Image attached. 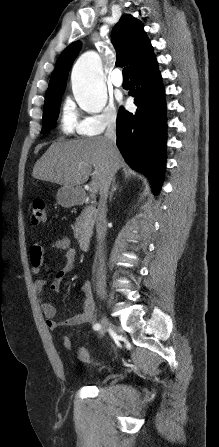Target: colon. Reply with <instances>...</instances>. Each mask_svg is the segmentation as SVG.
<instances>
[{
	"label": "colon",
	"mask_w": 219,
	"mask_h": 447,
	"mask_svg": "<svg viewBox=\"0 0 219 447\" xmlns=\"http://www.w3.org/2000/svg\"><path fill=\"white\" fill-rule=\"evenodd\" d=\"M30 222L32 225H42L47 220L45 201L41 198L34 199L30 209ZM85 361L90 360V356L87 351L83 353Z\"/></svg>",
	"instance_id": "1"
}]
</instances>
